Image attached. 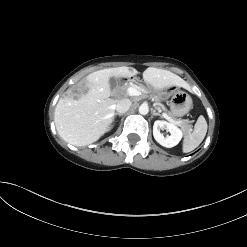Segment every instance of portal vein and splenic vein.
<instances>
[{
  "instance_id": "1",
  "label": "portal vein and splenic vein",
  "mask_w": 247,
  "mask_h": 247,
  "mask_svg": "<svg viewBox=\"0 0 247 247\" xmlns=\"http://www.w3.org/2000/svg\"><path fill=\"white\" fill-rule=\"evenodd\" d=\"M127 94L129 96H139L141 94V92L139 91L138 88L136 87H129L127 89ZM162 116L167 119L168 121L172 122V123H176L172 118H170L166 113H163Z\"/></svg>"
}]
</instances>
